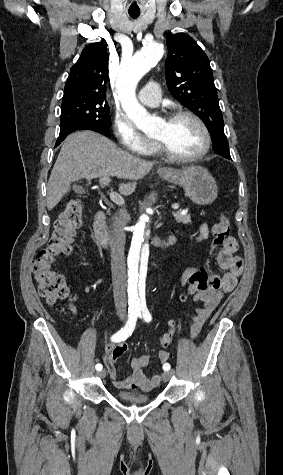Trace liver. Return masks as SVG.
<instances>
[{
  "mask_svg": "<svg viewBox=\"0 0 283 475\" xmlns=\"http://www.w3.org/2000/svg\"><path fill=\"white\" fill-rule=\"evenodd\" d=\"M152 162L135 158L118 148L112 140L90 130L75 132L66 138L53 166L47 186V208L53 210L70 190L71 182L86 178L117 176L125 180H141L152 170ZM136 182L120 184V194H133Z\"/></svg>",
  "mask_w": 283,
  "mask_h": 475,
  "instance_id": "liver-1",
  "label": "liver"
}]
</instances>
